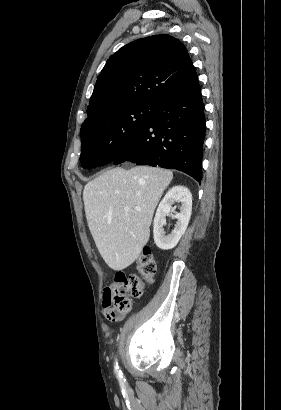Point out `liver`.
Returning <instances> with one entry per match:
<instances>
[{
	"instance_id": "liver-1",
	"label": "liver",
	"mask_w": 281,
	"mask_h": 410,
	"mask_svg": "<svg viewBox=\"0 0 281 410\" xmlns=\"http://www.w3.org/2000/svg\"><path fill=\"white\" fill-rule=\"evenodd\" d=\"M172 179V171L161 168L117 167L85 185L83 201L88 227L111 269L123 270L139 257L149 240L155 208ZM124 207H129V211L125 212Z\"/></svg>"
}]
</instances>
